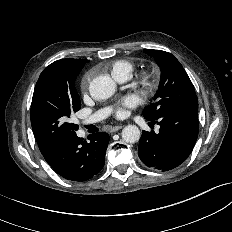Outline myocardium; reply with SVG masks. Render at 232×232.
<instances>
[{
	"instance_id": "f54148a6",
	"label": "myocardium",
	"mask_w": 232,
	"mask_h": 232,
	"mask_svg": "<svg viewBox=\"0 0 232 232\" xmlns=\"http://www.w3.org/2000/svg\"><path fill=\"white\" fill-rule=\"evenodd\" d=\"M139 85L146 91L153 90L155 84L150 72L144 71L139 78Z\"/></svg>"
}]
</instances>
